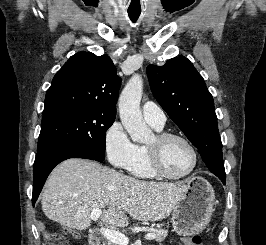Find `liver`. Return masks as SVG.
<instances>
[{
    "mask_svg": "<svg viewBox=\"0 0 266 245\" xmlns=\"http://www.w3.org/2000/svg\"><path fill=\"white\" fill-rule=\"evenodd\" d=\"M187 191L182 183L139 181L95 161L68 159L53 169L41 205L50 221L78 231L90 227L93 209H102L100 221L115 229L128 227L127 215L137 221L166 219Z\"/></svg>",
    "mask_w": 266,
    "mask_h": 245,
    "instance_id": "6515ba94",
    "label": "liver"
}]
</instances>
